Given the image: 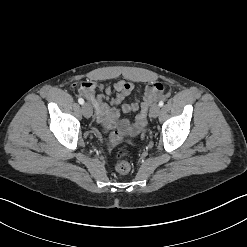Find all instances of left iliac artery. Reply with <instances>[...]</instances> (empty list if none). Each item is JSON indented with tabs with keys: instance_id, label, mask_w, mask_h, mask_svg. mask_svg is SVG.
<instances>
[{
	"instance_id": "left-iliac-artery-1",
	"label": "left iliac artery",
	"mask_w": 247,
	"mask_h": 247,
	"mask_svg": "<svg viewBox=\"0 0 247 247\" xmlns=\"http://www.w3.org/2000/svg\"><path fill=\"white\" fill-rule=\"evenodd\" d=\"M160 107H162L164 105V102L163 101H160L159 104H158Z\"/></svg>"
}]
</instances>
